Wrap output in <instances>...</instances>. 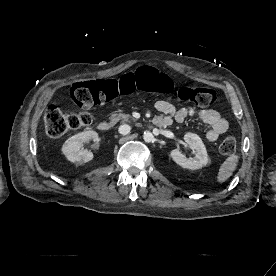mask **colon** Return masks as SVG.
<instances>
[{
    "instance_id": "colon-1",
    "label": "colon",
    "mask_w": 276,
    "mask_h": 276,
    "mask_svg": "<svg viewBox=\"0 0 276 276\" xmlns=\"http://www.w3.org/2000/svg\"><path fill=\"white\" fill-rule=\"evenodd\" d=\"M136 91L151 94L170 95L182 102H191L199 107H208L215 103L216 92L210 88L175 87L173 81L153 67L143 66L134 73L123 75L119 80L83 81L75 83L70 98L78 107L77 112H64L56 106H50L45 113L46 132L56 138L70 130L79 129L92 123L91 108L104 105L111 100L130 95ZM219 150L231 155L236 150V140L226 137Z\"/></svg>"
}]
</instances>
